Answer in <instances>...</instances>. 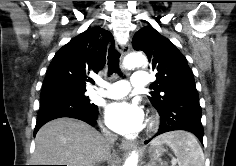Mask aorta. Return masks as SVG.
Segmentation results:
<instances>
[{
  "label": "aorta",
  "instance_id": "obj_1",
  "mask_svg": "<svg viewBox=\"0 0 236 166\" xmlns=\"http://www.w3.org/2000/svg\"><path fill=\"white\" fill-rule=\"evenodd\" d=\"M124 67L127 69H133L137 67H146L147 60L140 53H132L124 59ZM138 154L133 152L124 162L123 166H137Z\"/></svg>",
  "mask_w": 236,
  "mask_h": 166
}]
</instances>
